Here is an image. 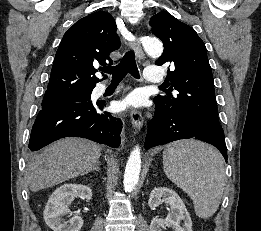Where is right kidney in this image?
I'll list each match as a JSON object with an SVG mask.
<instances>
[{"label":"right kidney","mask_w":261,"mask_h":231,"mask_svg":"<svg viewBox=\"0 0 261 231\" xmlns=\"http://www.w3.org/2000/svg\"><path fill=\"white\" fill-rule=\"evenodd\" d=\"M75 196L91 200L92 191L89 186L82 184H64L57 188L49 197L44 210V220L47 226L53 231H80L83 220L78 215L62 222V216L72 215L68 206L73 202Z\"/></svg>","instance_id":"right-kidney-1"}]
</instances>
